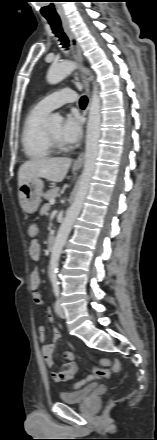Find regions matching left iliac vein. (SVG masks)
Here are the masks:
<instances>
[{"instance_id": "4c4485c4", "label": "left iliac vein", "mask_w": 157, "mask_h": 440, "mask_svg": "<svg viewBox=\"0 0 157 440\" xmlns=\"http://www.w3.org/2000/svg\"><path fill=\"white\" fill-rule=\"evenodd\" d=\"M55 308H56V312L59 315V317L64 319L65 318V311L61 305V299H57V301L55 303Z\"/></svg>"}]
</instances>
